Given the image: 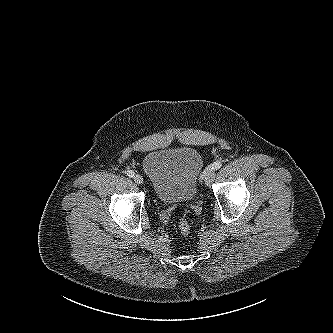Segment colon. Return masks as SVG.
Segmentation results:
<instances>
[{
	"label": "colon",
	"instance_id": "5ec220e1",
	"mask_svg": "<svg viewBox=\"0 0 333 333\" xmlns=\"http://www.w3.org/2000/svg\"><path fill=\"white\" fill-rule=\"evenodd\" d=\"M178 228L182 234H189L191 231V225L187 219H180L178 222Z\"/></svg>",
	"mask_w": 333,
	"mask_h": 333
}]
</instances>
